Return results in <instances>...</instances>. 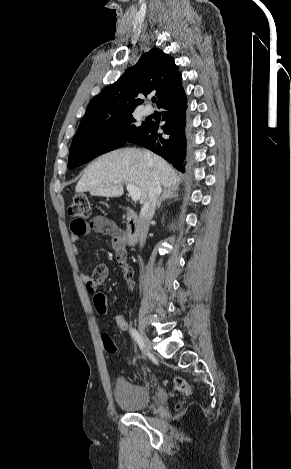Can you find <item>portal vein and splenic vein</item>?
Wrapping results in <instances>:
<instances>
[{
	"mask_svg": "<svg viewBox=\"0 0 291 469\" xmlns=\"http://www.w3.org/2000/svg\"><path fill=\"white\" fill-rule=\"evenodd\" d=\"M126 189L127 191L129 192L130 196H131V199L133 201H138L140 199V196H141V191L138 187H136L134 184H130L128 183L126 185Z\"/></svg>",
	"mask_w": 291,
	"mask_h": 469,
	"instance_id": "portal-vein-and-splenic-vein-1",
	"label": "portal vein and splenic vein"
}]
</instances>
